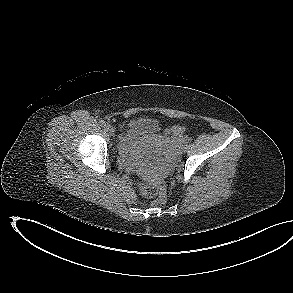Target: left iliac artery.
Wrapping results in <instances>:
<instances>
[{
    "label": "left iliac artery",
    "instance_id": "obj_1",
    "mask_svg": "<svg viewBox=\"0 0 293 293\" xmlns=\"http://www.w3.org/2000/svg\"><path fill=\"white\" fill-rule=\"evenodd\" d=\"M186 143H189L191 141V138H186Z\"/></svg>",
    "mask_w": 293,
    "mask_h": 293
}]
</instances>
